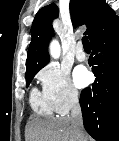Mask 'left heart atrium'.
Instances as JSON below:
<instances>
[{
	"instance_id": "39dd6f15",
	"label": "left heart atrium",
	"mask_w": 119,
	"mask_h": 141,
	"mask_svg": "<svg viewBox=\"0 0 119 141\" xmlns=\"http://www.w3.org/2000/svg\"><path fill=\"white\" fill-rule=\"evenodd\" d=\"M74 80L77 86H86L90 81V73L84 66H78L74 70Z\"/></svg>"
}]
</instances>
